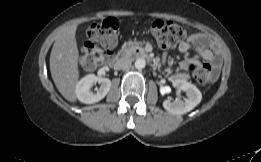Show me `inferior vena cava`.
<instances>
[{
    "label": "inferior vena cava",
    "instance_id": "602c4592",
    "mask_svg": "<svg viewBox=\"0 0 261 162\" xmlns=\"http://www.w3.org/2000/svg\"><path fill=\"white\" fill-rule=\"evenodd\" d=\"M131 66V60L130 59H120L114 64V69H123L126 70L130 68Z\"/></svg>",
    "mask_w": 261,
    "mask_h": 162
}]
</instances>
